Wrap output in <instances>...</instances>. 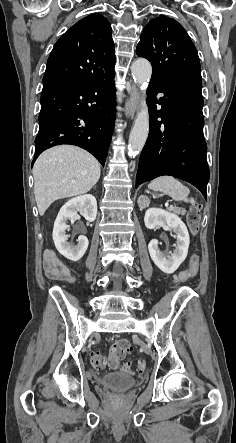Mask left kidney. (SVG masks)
<instances>
[{"label": "left kidney", "mask_w": 236, "mask_h": 443, "mask_svg": "<svg viewBox=\"0 0 236 443\" xmlns=\"http://www.w3.org/2000/svg\"><path fill=\"white\" fill-rule=\"evenodd\" d=\"M144 222L148 229L167 227L176 234L175 250L169 252L168 256L160 250L158 240L152 239L148 244L151 259L155 265L166 274L175 272L188 253L190 238L186 225L177 215L160 208H149L145 213Z\"/></svg>", "instance_id": "5707ae66"}]
</instances>
